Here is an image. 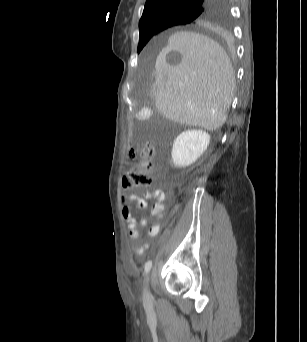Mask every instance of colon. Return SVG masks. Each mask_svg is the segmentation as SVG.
<instances>
[{
  "mask_svg": "<svg viewBox=\"0 0 307 342\" xmlns=\"http://www.w3.org/2000/svg\"><path fill=\"white\" fill-rule=\"evenodd\" d=\"M155 146L152 142H145L137 151L131 153L134 158L138 153L139 160L135 166L130 168L122 177V186L124 188H136L150 185L153 181ZM128 201V199H127Z\"/></svg>",
  "mask_w": 307,
  "mask_h": 342,
  "instance_id": "obj_1",
  "label": "colon"
}]
</instances>
